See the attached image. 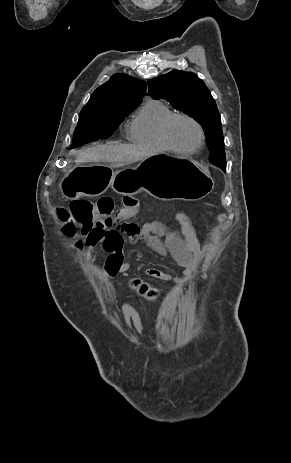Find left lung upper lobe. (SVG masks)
Segmentation results:
<instances>
[{
  "label": "left lung upper lobe",
  "mask_w": 291,
  "mask_h": 463,
  "mask_svg": "<svg viewBox=\"0 0 291 463\" xmlns=\"http://www.w3.org/2000/svg\"><path fill=\"white\" fill-rule=\"evenodd\" d=\"M149 95L165 99L199 122L207 136L212 164L226 166L221 118L210 91L197 75L173 70L148 81Z\"/></svg>",
  "instance_id": "1"
}]
</instances>
